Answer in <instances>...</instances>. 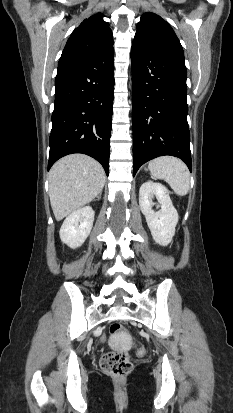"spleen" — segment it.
<instances>
[{
    "label": "spleen",
    "mask_w": 233,
    "mask_h": 413,
    "mask_svg": "<svg viewBox=\"0 0 233 413\" xmlns=\"http://www.w3.org/2000/svg\"><path fill=\"white\" fill-rule=\"evenodd\" d=\"M148 168L152 176L164 179L175 194L187 195L190 188V173L180 159L162 156L149 162Z\"/></svg>",
    "instance_id": "spleen-1"
}]
</instances>
